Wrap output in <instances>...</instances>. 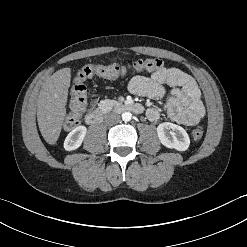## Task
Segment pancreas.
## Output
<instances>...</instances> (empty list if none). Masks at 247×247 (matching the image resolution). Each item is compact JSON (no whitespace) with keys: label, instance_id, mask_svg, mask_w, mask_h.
<instances>
[{"label":"pancreas","instance_id":"cf45deb5","mask_svg":"<svg viewBox=\"0 0 247 247\" xmlns=\"http://www.w3.org/2000/svg\"><path fill=\"white\" fill-rule=\"evenodd\" d=\"M116 105H119V103L117 101H115V100L105 99V100H101L99 102V107L101 109L111 108V107L116 106Z\"/></svg>","mask_w":247,"mask_h":247}]
</instances>
